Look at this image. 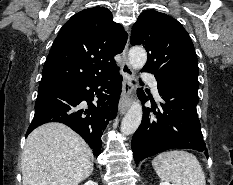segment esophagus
<instances>
[{
  "instance_id": "esophagus-1",
  "label": "esophagus",
  "mask_w": 233,
  "mask_h": 185,
  "mask_svg": "<svg viewBox=\"0 0 233 185\" xmlns=\"http://www.w3.org/2000/svg\"><path fill=\"white\" fill-rule=\"evenodd\" d=\"M129 40L122 52L121 74L123 76L122 93L119 101V114L123 115L132 102L133 85L131 80L134 78V71L128 61Z\"/></svg>"
}]
</instances>
